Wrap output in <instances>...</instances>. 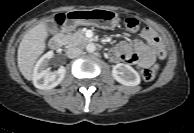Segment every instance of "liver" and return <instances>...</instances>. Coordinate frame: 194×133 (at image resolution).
Instances as JSON below:
<instances>
[{
    "label": "liver",
    "instance_id": "6515ba94",
    "mask_svg": "<svg viewBox=\"0 0 194 133\" xmlns=\"http://www.w3.org/2000/svg\"><path fill=\"white\" fill-rule=\"evenodd\" d=\"M48 30L46 23L30 29L23 37L17 52L18 67L25 79L31 80L36 60L46 48Z\"/></svg>",
    "mask_w": 194,
    "mask_h": 133
}]
</instances>
